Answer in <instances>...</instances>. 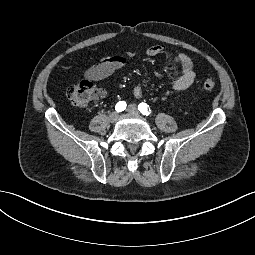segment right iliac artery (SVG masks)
Instances as JSON below:
<instances>
[{
	"label": "right iliac artery",
	"instance_id": "right-iliac-artery-1",
	"mask_svg": "<svg viewBox=\"0 0 255 255\" xmlns=\"http://www.w3.org/2000/svg\"><path fill=\"white\" fill-rule=\"evenodd\" d=\"M126 102H124V101H119L117 104H116V106H115V110L117 111V112H122V111H124L125 109H126Z\"/></svg>",
	"mask_w": 255,
	"mask_h": 255
}]
</instances>
